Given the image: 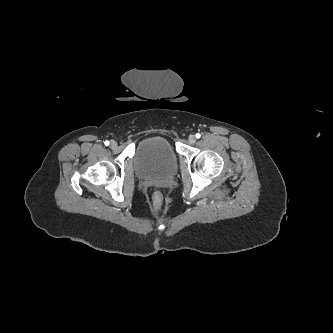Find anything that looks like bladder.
Instances as JSON below:
<instances>
[{"instance_id":"bladder-1","label":"bladder","mask_w":333,"mask_h":333,"mask_svg":"<svg viewBox=\"0 0 333 333\" xmlns=\"http://www.w3.org/2000/svg\"><path fill=\"white\" fill-rule=\"evenodd\" d=\"M177 157L170 143L162 136H151L139 142L134 167L141 178H169L177 172Z\"/></svg>"}]
</instances>
